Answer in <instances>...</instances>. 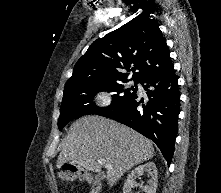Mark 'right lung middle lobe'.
<instances>
[{
	"instance_id": "1",
	"label": "right lung middle lobe",
	"mask_w": 221,
	"mask_h": 193,
	"mask_svg": "<svg viewBox=\"0 0 221 193\" xmlns=\"http://www.w3.org/2000/svg\"><path fill=\"white\" fill-rule=\"evenodd\" d=\"M126 82L128 81L64 89L60 117L58 119L59 130H62L74 118L112 110L131 100L137 94V88H134V86L125 88L123 83ZM135 87H137V82H135ZM100 91L117 93L112 95V104L110 106L100 108L92 102L95 94Z\"/></svg>"
}]
</instances>
